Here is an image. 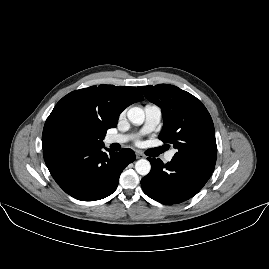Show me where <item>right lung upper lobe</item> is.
I'll return each instance as SVG.
<instances>
[{"label": "right lung upper lobe", "instance_id": "cb5924a9", "mask_svg": "<svg viewBox=\"0 0 269 269\" xmlns=\"http://www.w3.org/2000/svg\"><path fill=\"white\" fill-rule=\"evenodd\" d=\"M144 100L135 87L99 85L64 96L47 118L42 147H61L76 133L91 131L106 135L117 126L120 113L132 103Z\"/></svg>", "mask_w": 269, "mask_h": 269}]
</instances>
